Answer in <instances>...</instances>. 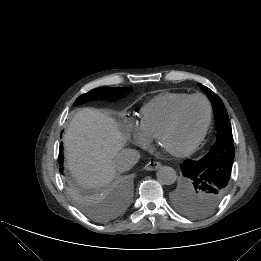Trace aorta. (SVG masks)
Listing matches in <instances>:
<instances>
[{"label": "aorta", "instance_id": "aorta-1", "mask_svg": "<svg viewBox=\"0 0 261 261\" xmlns=\"http://www.w3.org/2000/svg\"><path fill=\"white\" fill-rule=\"evenodd\" d=\"M157 179L161 184L171 185L175 183L177 174L172 167L162 166L157 171Z\"/></svg>", "mask_w": 261, "mask_h": 261}]
</instances>
